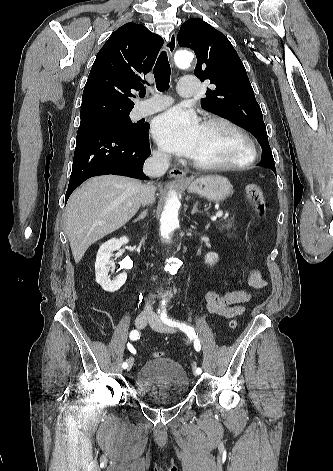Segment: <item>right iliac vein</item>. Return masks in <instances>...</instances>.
<instances>
[{"label":"right iliac vein","instance_id":"obj_1","mask_svg":"<svg viewBox=\"0 0 333 471\" xmlns=\"http://www.w3.org/2000/svg\"><path fill=\"white\" fill-rule=\"evenodd\" d=\"M150 316L146 315V314H140L137 316V318L135 319V325L138 329H143L147 322L150 320ZM133 363H134V359L132 357H130L128 359V366H127V370L130 371L132 366H133Z\"/></svg>","mask_w":333,"mask_h":471}]
</instances>
